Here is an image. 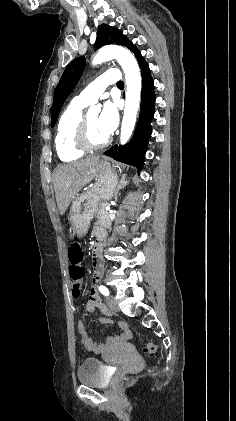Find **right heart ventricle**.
<instances>
[{"mask_svg": "<svg viewBox=\"0 0 236 421\" xmlns=\"http://www.w3.org/2000/svg\"><path fill=\"white\" fill-rule=\"evenodd\" d=\"M85 106L73 100L62 112L56 129L55 148L59 159L66 163L77 161L84 155L73 141V131Z\"/></svg>", "mask_w": 236, "mask_h": 421, "instance_id": "1", "label": "right heart ventricle"}]
</instances>
